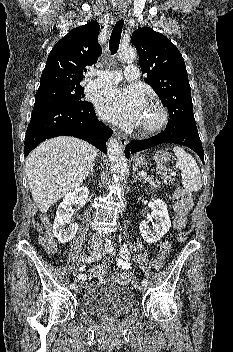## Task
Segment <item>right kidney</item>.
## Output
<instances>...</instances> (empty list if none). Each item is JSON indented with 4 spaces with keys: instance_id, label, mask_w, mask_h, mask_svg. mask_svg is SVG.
Masks as SVG:
<instances>
[{
    "instance_id": "right-kidney-1",
    "label": "right kidney",
    "mask_w": 233,
    "mask_h": 352,
    "mask_svg": "<svg viewBox=\"0 0 233 352\" xmlns=\"http://www.w3.org/2000/svg\"><path fill=\"white\" fill-rule=\"evenodd\" d=\"M88 194L89 191L87 187H79L72 193L67 194L58 206L53 225V233L59 242L67 243L75 237L78 225L70 222L69 212L71 211V205L76 203L79 207H83L88 199ZM65 225H67V227H65Z\"/></svg>"
}]
</instances>
